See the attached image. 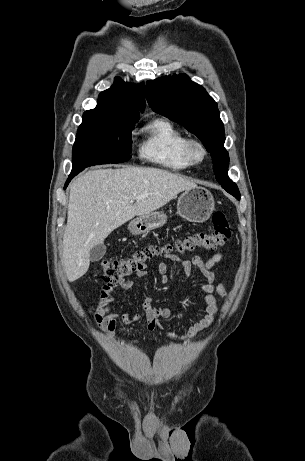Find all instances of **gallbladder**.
Instances as JSON below:
<instances>
[{"label":"gallbladder","mask_w":305,"mask_h":461,"mask_svg":"<svg viewBox=\"0 0 305 461\" xmlns=\"http://www.w3.org/2000/svg\"><path fill=\"white\" fill-rule=\"evenodd\" d=\"M106 253V246L101 243L94 246L90 251V260L92 262L99 261Z\"/></svg>","instance_id":"1"}]
</instances>
